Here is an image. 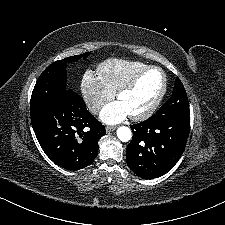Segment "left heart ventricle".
<instances>
[{"instance_id":"obj_1","label":"left heart ventricle","mask_w":225,"mask_h":225,"mask_svg":"<svg viewBox=\"0 0 225 225\" xmlns=\"http://www.w3.org/2000/svg\"><path fill=\"white\" fill-rule=\"evenodd\" d=\"M162 75L156 70L147 71L136 87L119 98L129 115L144 112L155 100L162 87Z\"/></svg>"}]
</instances>
